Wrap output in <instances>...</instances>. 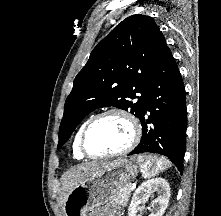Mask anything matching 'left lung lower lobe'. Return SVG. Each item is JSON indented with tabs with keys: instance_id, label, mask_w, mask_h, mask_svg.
<instances>
[{
	"instance_id": "left-lung-lower-lobe-1",
	"label": "left lung lower lobe",
	"mask_w": 221,
	"mask_h": 216,
	"mask_svg": "<svg viewBox=\"0 0 221 216\" xmlns=\"http://www.w3.org/2000/svg\"><path fill=\"white\" fill-rule=\"evenodd\" d=\"M185 94L178 66L167 47L148 83L145 106L139 118L141 141L129 155L159 153L183 171L187 128Z\"/></svg>"
}]
</instances>
